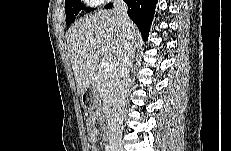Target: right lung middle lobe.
<instances>
[{"instance_id": "1", "label": "right lung middle lobe", "mask_w": 231, "mask_h": 151, "mask_svg": "<svg viewBox=\"0 0 231 151\" xmlns=\"http://www.w3.org/2000/svg\"><path fill=\"white\" fill-rule=\"evenodd\" d=\"M65 9H66V24H71L77 17V15L81 12V10H85L86 12H90L91 9L85 8L80 0H67L65 1ZM93 10V9H92Z\"/></svg>"}]
</instances>
